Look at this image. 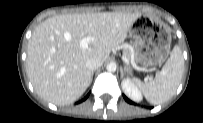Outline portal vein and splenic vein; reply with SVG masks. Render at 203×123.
Segmentation results:
<instances>
[{
    "mask_svg": "<svg viewBox=\"0 0 203 123\" xmlns=\"http://www.w3.org/2000/svg\"><path fill=\"white\" fill-rule=\"evenodd\" d=\"M94 38L92 37H84L81 41H80V46L83 48V49H86L88 48V45L91 41H93ZM124 60H126L125 58H123Z\"/></svg>",
    "mask_w": 203,
    "mask_h": 123,
    "instance_id": "18ae733b",
    "label": "portal vein and splenic vein"
}]
</instances>
